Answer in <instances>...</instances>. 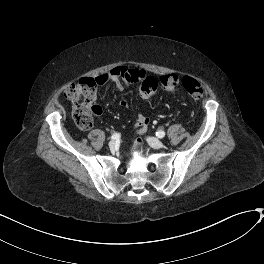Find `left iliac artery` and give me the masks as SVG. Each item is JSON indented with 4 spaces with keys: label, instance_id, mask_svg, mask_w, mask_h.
<instances>
[{
    "label": "left iliac artery",
    "instance_id": "1",
    "mask_svg": "<svg viewBox=\"0 0 264 264\" xmlns=\"http://www.w3.org/2000/svg\"><path fill=\"white\" fill-rule=\"evenodd\" d=\"M156 136L158 138H163L165 136V132L162 131V130H159V131L156 132Z\"/></svg>",
    "mask_w": 264,
    "mask_h": 264
}]
</instances>
